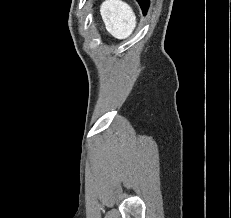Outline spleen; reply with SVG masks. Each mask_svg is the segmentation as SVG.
Segmentation results:
<instances>
[{
  "instance_id": "spleen-1",
  "label": "spleen",
  "mask_w": 231,
  "mask_h": 218,
  "mask_svg": "<svg viewBox=\"0 0 231 218\" xmlns=\"http://www.w3.org/2000/svg\"><path fill=\"white\" fill-rule=\"evenodd\" d=\"M100 14L107 31L117 39L129 37L136 27V17L129 5L121 0H106Z\"/></svg>"
}]
</instances>
